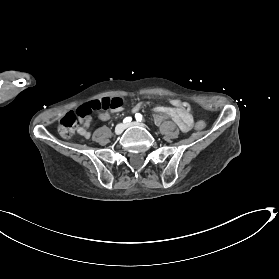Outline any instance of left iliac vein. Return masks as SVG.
<instances>
[{"mask_svg": "<svg viewBox=\"0 0 279 279\" xmlns=\"http://www.w3.org/2000/svg\"><path fill=\"white\" fill-rule=\"evenodd\" d=\"M136 126H138V127H145L143 124L134 121V122L126 124L125 128L136 127Z\"/></svg>", "mask_w": 279, "mask_h": 279, "instance_id": "1", "label": "left iliac vein"}]
</instances>
